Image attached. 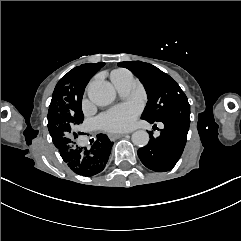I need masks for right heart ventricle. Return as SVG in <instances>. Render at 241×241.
<instances>
[{
  "label": "right heart ventricle",
  "mask_w": 241,
  "mask_h": 241,
  "mask_svg": "<svg viewBox=\"0 0 241 241\" xmlns=\"http://www.w3.org/2000/svg\"><path fill=\"white\" fill-rule=\"evenodd\" d=\"M130 74L124 70H117L113 73L112 81L115 86L123 83Z\"/></svg>",
  "instance_id": "1"
}]
</instances>
